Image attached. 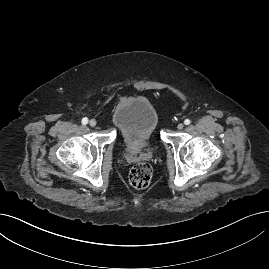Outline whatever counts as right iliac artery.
<instances>
[{"label":"right iliac artery","mask_w":269,"mask_h":269,"mask_svg":"<svg viewBox=\"0 0 269 269\" xmlns=\"http://www.w3.org/2000/svg\"><path fill=\"white\" fill-rule=\"evenodd\" d=\"M88 123V118L87 117H84L83 119H82V124L83 125H86Z\"/></svg>","instance_id":"1"}]
</instances>
